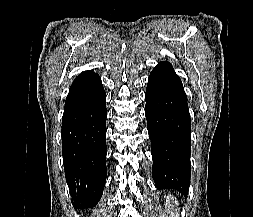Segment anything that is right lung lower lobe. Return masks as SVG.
Wrapping results in <instances>:
<instances>
[{
  "label": "right lung lower lobe",
  "mask_w": 253,
  "mask_h": 217,
  "mask_svg": "<svg viewBox=\"0 0 253 217\" xmlns=\"http://www.w3.org/2000/svg\"><path fill=\"white\" fill-rule=\"evenodd\" d=\"M106 93L101 78L82 72L72 83L62 120L63 162L75 208H91L106 182Z\"/></svg>",
  "instance_id": "1"
}]
</instances>
